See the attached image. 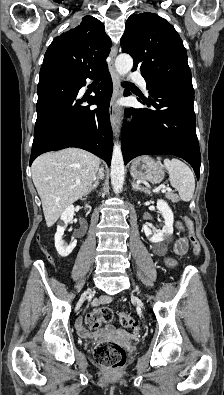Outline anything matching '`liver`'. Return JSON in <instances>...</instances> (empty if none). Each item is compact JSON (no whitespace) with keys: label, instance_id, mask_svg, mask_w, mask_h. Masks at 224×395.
<instances>
[{"label":"liver","instance_id":"1","mask_svg":"<svg viewBox=\"0 0 224 395\" xmlns=\"http://www.w3.org/2000/svg\"><path fill=\"white\" fill-rule=\"evenodd\" d=\"M100 159L94 154L66 148L40 155L32 164V179L42 202L47 227L63 211L89 193Z\"/></svg>","mask_w":224,"mask_h":395}]
</instances>
